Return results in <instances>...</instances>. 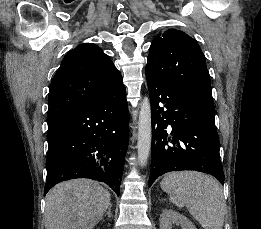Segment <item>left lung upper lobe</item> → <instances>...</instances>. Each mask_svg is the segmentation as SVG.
<instances>
[{
	"label": "left lung upper lobe",
	"instance_id": "5c2ea615",
	"mask_svg": "<svg viewBox=\"0 0 261 229\" xmlns=\"http://www.w3.org/2000/svg\"><path fill=\"white\" fill-rule=\"evenodd\" d=\"M145 71L164 80L211 90L204 54L182 31L170 29L152 41Z\"/></svg>",
	"mask_w": 261,
	"mask_h": 229
}]
</instances>
